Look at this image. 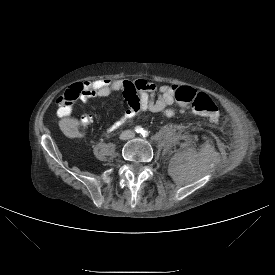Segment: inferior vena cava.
<instances>
[{
  "label": "inferior vena cava",
  "instance_id": "inferior-vena-cava-1",
  "mask_svg": "<svg viewBox=\"0 0 275 275\" xmlns=\"http://www.w3.org/2000/svg\"><path fill=\"white\" fill-rule=\"evenodd\" d=\"M134 132L133 131H130V130H126L124 131L122 134H121V137L124 139V140H127V139H131L134 137Z\"/></svg>",
  "mask_w": 275,
  "mask_h": 275
}]
</instances>
